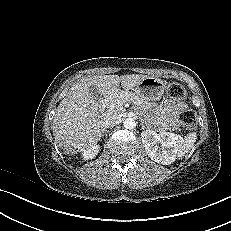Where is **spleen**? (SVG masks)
Masks as SVG:
<instances>
[{
	"label": "spleen",
	"instance_id": "3e777b00",
	"mask_svg": "<svg viewBox=\"0 0 231 231\" xmlns=\"http://www.w3.org/2000/svg\"><path fill=\"white\" fill-rule=\"evenodd\" d=\"M197 139V133L191 132L185 136L181 146L178 148L177 157H183L194 146Z\"/></svg>",
	"mask_w": 231,
	"mask_h": 231
}]
</instances>
